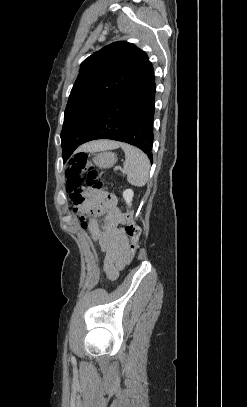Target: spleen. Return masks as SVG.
Returning a JSON list of instances; mask_svg holds the SVG:
<instances>
[{"mask_svg":"<svg viewBox=\"0 0 247 407\" xmlns=\"http://www.w3.org/2000/svg\"><path fill=\"white\" fill-rule=\"evenodd\" d=\"M125 152L124 173L127 174V181L134 186H144L149 178L150 161L140 149L121 144Z\"/></svg>","mask_w":247,"mask_h":407,"instance_id":"spleen-1","label":"spleen"}]
</instances>
